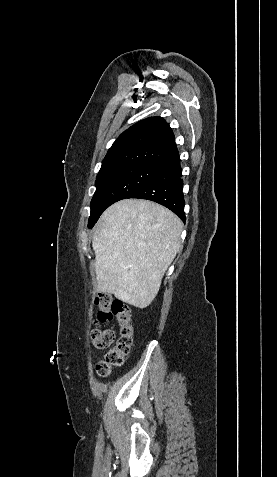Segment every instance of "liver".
<instances>
[{
  "label": "liver",
  "instance_id": "1",
  "mask_svg": "<svg viewBox=\"0 0 277 477\" xmlns=\"http://www.w3.org/2000/svg\"><path fill=\"white\" fill-rule=\"evenodd\" d=\"M182 221L148 200L125 199L110 206L96 224L97 292L138 308L156 297L181 246Z\"/></svg>",
  "mask_w": 277,
  "mask_h": 477
}]
</instances>
